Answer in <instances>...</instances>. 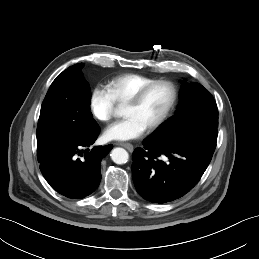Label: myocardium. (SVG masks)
Listing matches in <instances>:
<instances>
[{
	"label": "myocardium",
	"instance_id": "obj_1",
	"mask_svg": "<svg viewBox=\"0 0 259 259\" xmlns=\"http://www.w3.org/2000/svg\"><path fill=\"white\" fill-rule=\"evenodd\" d=\"M161 84L167 86L170 89L171 97L162 115L154 123H152L150 126L146 128L148 132L154 131L158 129L160 126H162L164 122L167 120V118L170 116L171 112L173 111L178 99V89L176 85L172 81L165 79L154 80L151 83L139 89L125 103V106H137L153 87Z\"/></svg>",
	"mask_w": 259,
	"mask_h": 259
}]
</instances>
